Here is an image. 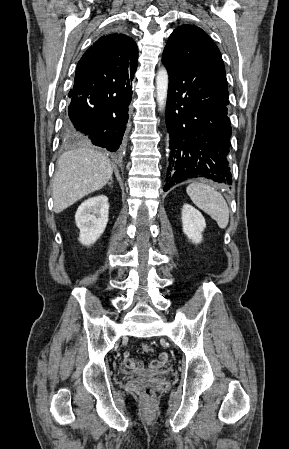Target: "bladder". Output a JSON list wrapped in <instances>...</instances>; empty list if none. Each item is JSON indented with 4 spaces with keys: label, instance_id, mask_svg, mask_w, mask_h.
<instances>
[{
    "label": "bladder",
    "instance_id": "31cf9c89",
    "mask_svg": "<svg viewBox=\"0 0 289 449\" xmlns=\"http://www.w3.org/2000/svg\"><path fill=\"white\" fill-rule=\"evenodd\" d=\"M169 370H155V371H125L122 373L124 377L131 378L135 376H166Z\"/></svg>",
    "mask_w": 289,
    "mask_h": 449
}]
</instances>
